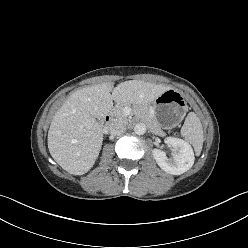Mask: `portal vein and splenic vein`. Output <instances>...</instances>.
Returning a JSON list of instances; mask_svg holds the SVG:
<instances>
[{"label":"portal vein and splenic vein","mask_w":248,"mask_h":248,"mask_svg":"<svg viewBox=\"0 0 248 248\" xmlns=\"http://www.w3.org/2000/svg\"><path fill=\"white\" fill-rule=\"evenodd\" d=\"M130 111H131V109L128 108V107H125V108H124V114H125V115L130 114Z\"/></svg>","instance_id":"obj_1"}]
</instances>
